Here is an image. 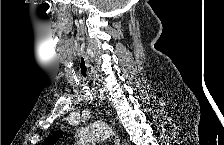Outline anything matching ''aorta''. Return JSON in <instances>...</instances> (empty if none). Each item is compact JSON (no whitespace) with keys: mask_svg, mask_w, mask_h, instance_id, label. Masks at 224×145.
Returning a JSON list of instances; mask_svg holds the SVG:
<instances>
[{"mask_svg":"<svg viewBox=\"0 0 224 145\" xmlns=\"http://www.w3.org/2000/svg\"><path fill=\"white\" fill-rule=\"evenodd\" d=\"M113 134L112 129L104 123H95L78 131L77 139L81 145L103 142Z\"/></svg>","mask_w":224,"mask_h":145,"instance_id":"1","label":"aorta"}]
</instances>
